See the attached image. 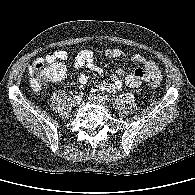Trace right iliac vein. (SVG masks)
I'll return each mask as SVG.
<instances>
[{"instance_id":"1","label":"right iliac vein","mask_w":195,"mask_h":195,"mask_svg":"<svg viewBox=\"0 0 195 195\" xmlns=\"http://www.w3.org/2000/svg\"><path fill=\"white\" fill-rule=\"evenodd\" d=\"M81 101H82V99L80 97L76 96V97H74L72 103L74 106H79Z\"/></svg>"}]
</instances>
